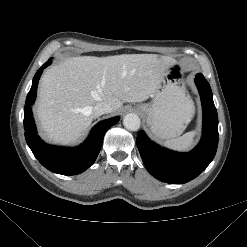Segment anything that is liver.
Listing matches in <instances>:
<instances>
[{
  "label": "liver",
  "instance_id": "6515ba94",
  "mask_svg": "<svg viewBox=\"0 0 247 247\" xmlns=\"http://www.w3.org/2000/svg\"><path fill=\"white\" fill-rule=\"evenodd\" d=\"M173 64V58L156 54L65 59L40 82L36 112L43 136L52 143L76 142L91 125L96 103H107L115 112L124 102L147 100Z\"/></svg>",
  "mask_w": 247,
  "mask_h": 247
}]
</instances>
